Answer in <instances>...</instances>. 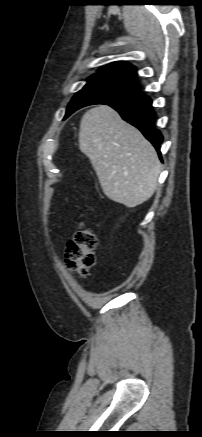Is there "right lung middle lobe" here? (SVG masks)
<instances>
[{
	"instance_id": "obj_1",
	"label": "right lung middle lobe",
	"mask_w": 202,
	"mask_h": 437,
	"mask_svg": "<svg viewBox=\"0 0 202 437\" xmlns=\"http://www.w3.org/2000/svg\"><path fill=\"white\" fill-rule=\"evenodd\" d=\"M139 96L140 89L131 78L111 72H98L89 77L88 83L72 98L65 118L88 105L110 104Z\"/></svg>"
}]
</instances>
